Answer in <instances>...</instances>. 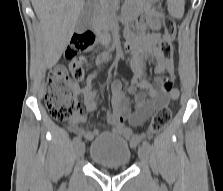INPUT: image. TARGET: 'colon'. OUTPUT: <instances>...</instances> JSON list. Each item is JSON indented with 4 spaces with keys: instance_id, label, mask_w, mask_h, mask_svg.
<instances>
[{
    "instance_id": "1",
    "label": "colon",
    "mask_w": 223,
    "mask_h": 191,
    "mask_svg": "<svg viewBox=\"0 0 223 191\" xmlns=\"http://www.w3.org/2000/svg\"><path fill=\"white\" fill-rule=\"evenodd\" d=\"M164 33L159 40V52L163 57L164 72L173 73L176 69V59L172 55L171 40L176 34V23L173 18L165 17L163 20ZM94 41V35L86 32L76 34L65 50L67 58H75L81 51L90 46ZM85 69L80 60H73L68 69L64 66H56L50 72L45 91V104L51 116L56 121H68L75 117L79 111L75 96V82L85 79ZM171 119L168 107L159 108L153 115L147 129L135 133L129 128H123L121 134L127 137L133 148L139 147L142 140L151 137L164 129Z\"/></svg>"
}]
</instances>
